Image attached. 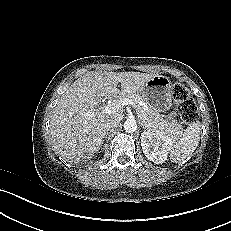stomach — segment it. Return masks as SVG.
Returning <instances> with one entry per match:
<instances>
[{
	"label": "stomach",
	"instance_id": "1",
	"mask_svg": "<svg viewBox=\"0 0 231 231\" xmlns=\"http://www.w3.org/2000/svg\"><path fill=\"white\" fill-rule=\"evenodd\" d=\"M138 93L149 107L158 112L168 110L172 105L173 85L167 76L155 75Z\"/></svg>",
	"mask_w": 231,
	"mask_h": 231
}]
</instances>
